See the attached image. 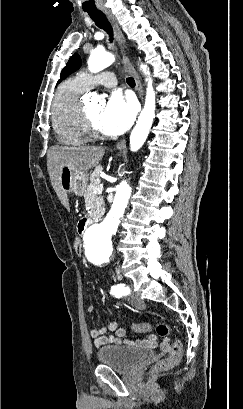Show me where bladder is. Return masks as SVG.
<instances>
[{
	"label": "bladder",
	"mask_w": 243,
	"mask_h": 409,
	"mask_svg": "<svg viewBox=\"0 0 243 409\" xmlns=\"http://www.w3.org/2000/svg\"><path fill=\"white\" fill-rule=\"evenodd\" d=\"M149 349L126 345H106L97 351L98 361L116 371L127 372L151 357Z\"/></svg>",
	"instance_id": "bladder-1"
}]
</instances>
